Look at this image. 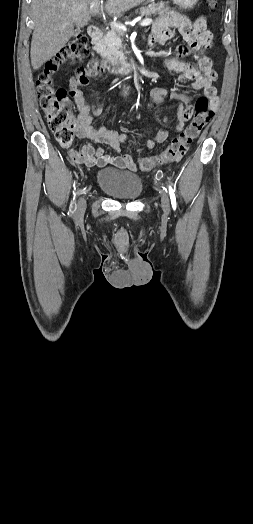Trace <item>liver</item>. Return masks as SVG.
Listing matches in <instances>:
<instances>
[{"instance_id": "obj_1", "label": "liver", "mask_w": 253, "mask_h": 524, "mask_svg": "<svg viewBox=\"0 0 253 524\" xmlns=\"http://www.w3.org/2000/svg\"><path fill=\"white\" fill-rule=\"evenodd\" d=\"M146 0H107L104 8L110 15L120 16ZM92 2L100 0H32L31 11L34 20V31L31 41V65L39 69L45 62L55 56L75 33L76 27L88 24Z\"/></svg>"}]
</instances>
